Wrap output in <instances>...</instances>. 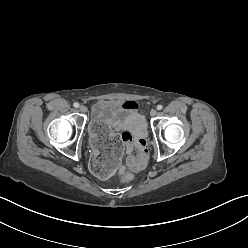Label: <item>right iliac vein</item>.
<instances>
[{"label":"right iliac vein","mask_w":248,"mask_h":248,"mask_svg":"<svg viewBox=\"0 0 248 248\" xmlns=\"http://www.w3.org/2000/svg\"><path fill=\"white\" fill-rule=\"evenodd\" d=\"M79 110L82 112V113H85L87 111V108L84 106V105H81L79 107Z\"/></svg>","instance_id":"obj_1"}]
</instances>
